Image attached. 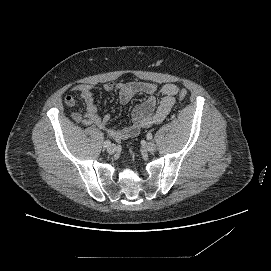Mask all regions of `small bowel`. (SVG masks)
<instances>
[{
  "instance_id": "obj_1",
  "label": "small bowel",
  "mask_w": 271,
  "mask_h": 271,
  "mask_svg": "<svg viewBox=\"0 0 271 271\" xmlns=\"http://www.w3.org/2000/svg\"><path fill=\"white\" fill-rule=\"evenodd\" d=\"M72 91L79 94L86 106L85 112H74L72 115L73 119L83 125L97 126L113 139L120 141L136 136L143 128L163 122L175 104L178 87L172 83L158 86L155 83L143 81L105 84L104 91L117 92L119 100L123 105L128 104L137 95H147L146 100L132 110L131 123L121 129L110 126L108 115H99L91 85L78 84L72 88ZM158 94L162 96L159 104H157ZM64 101L69 107L76 105V99L72 95H67Z\"/></svg>"
}]
</instances>
